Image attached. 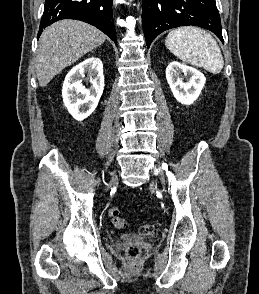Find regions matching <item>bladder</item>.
<instances>
[{"label":"bladder","mask_w":259,"mask_h":294,"mask_svg":"<svg viewBox=\"0 0 259 294\" xmlns=\"http://www.w3.org/2000/svg\"><path fill=\"white\" fill-rule=\"evenodd\" d=\"M121 237L124 238V239L131 238V236L130 235H127V234H124ZM138 239H143V237H139Z\"/></svg>","instance_id":"1"}]
</instances>
